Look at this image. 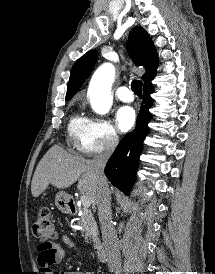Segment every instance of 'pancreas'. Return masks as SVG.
Wrapping results in <instances>:
<instances>
[{"mask_svg":"<svg viewBox=\"0 0 215 274\" xmlns=\"http://www.w3.org/2000/svg\"><path fill=\"white\" fill-rule=\"evenodd\" d=\"M77 220L78 224L83 228L86 243H96L98 241V228L91 211L83 208Z\"/></svg>","mask_w":215,"mask_h":274,"instance_id":"1","label":"pancreas"}]
</instances>
